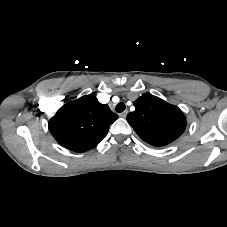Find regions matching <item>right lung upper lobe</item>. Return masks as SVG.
Returning <instances> with one entry per match:
<instances>
[{"instance_id":"right-lung-upper-lobe-1","label":"right lung upper lobe","mask_w":227,"mask_h":227,"mask_svg":"<svg viewBox=\"0 0 227 227\" xmlns=\"http://www.w3.org/2000/svg\"><path fill=\"white\" fill-rule=\"evenodd\" d=\"M117 118L118 115L92 93L63 105L49 120L48 127L60 145L84 152L99 144Z\"/></svg>"}]
</instances>
